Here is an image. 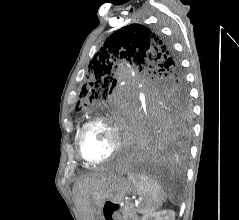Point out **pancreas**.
<instances>
[{"label":"pancreas","instance_id":"pancreas-1","mask_svg":"<svg viewBox=\"0 0 239 220\" xmlns=\"http://www.w3.org/2000/svg\"><path fill=\"white\" fill-rule=\"evenodd\" d=\"M121 217L124 220H138V216H137V211L136 209L133 207V205H125L123 206V208L121 209Z\"/></svg>","mask_w":239,"mask_h":220}]
</instances>
